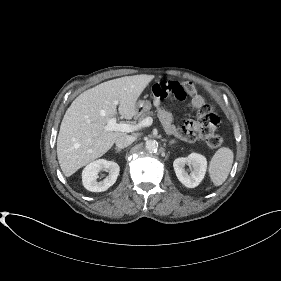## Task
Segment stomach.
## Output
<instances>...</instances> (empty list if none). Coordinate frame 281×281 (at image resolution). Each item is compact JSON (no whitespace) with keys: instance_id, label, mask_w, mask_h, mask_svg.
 Instances as JSON below:
<instances>
[{"instance_id":"stomach-1","label":"stomach","mask_w":281,"mask_h":281,"mask_svg":"<svg viewBox=\"0 0 281 281\" xmlns=\"http://www.w3.org/2000/svg\"><path fill=\"white\" fill-rule=\"evenodd\" d=\"M151 102L148 100H139L136 104V112L137 115H141L143 113L148 112L151 109Z\"/></svg>"}]
</instances>
